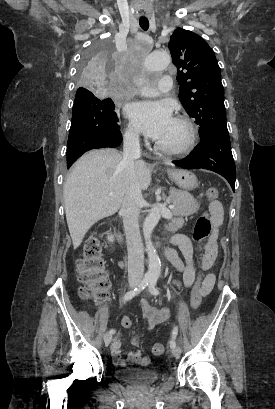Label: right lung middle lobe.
I'll return each mask as SVG.
<instances>
[{
  "label": "right lung middle lobe",
  "instance_id": "obj_1",
  "mask_svg": "<svg viewBox=\"0 0 275 409\" xmlns=\"http://www.w3.org/2000/svg\"><path fill=\"white\" fill-rule=\"evenodd\" d=\"M91 50L84 51L77 71L78 90L72 111V122L67 143V164L62 166L61 176L66 178L73 171L72 164L85 152L103 147H117L122 141L115 110L122 104L121 96H105L106 85L117 88L113 60L119 58L113 39L97 36L91 42Z\"/></svg>",
  "mask_w": 275,
  "mask_h": 409
}]
</instances>
